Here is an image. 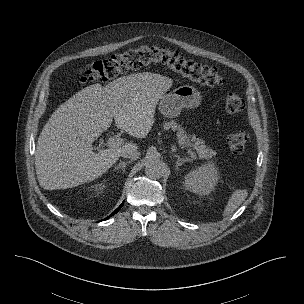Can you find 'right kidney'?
<instances>
[{"label":"right kidney","mask_w":304,"mask_h":304,"mask_svg":"<svg viewBox=\"0 0 304 304\" xmlns=\"http://www.w3.org/2000/svg\"><path fill=\"white\" fill-rule=\"evenodd\" d=\"M105 184H103V183H97V184H95V185H93L92 186V188L97 192V193H99V192H102L104 189H105Z\"/></svg>","instance_id":"right-kidney-1"}]
</instances>
